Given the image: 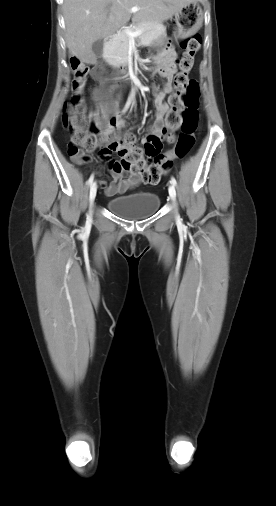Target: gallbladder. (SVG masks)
I'll return each mask as SVG.
<instances>
[{"label": "gallbladder", "mask_w": 276, "mask_h": 506, "mask_svg": "<svg viewBox=\"0 0 276 506\" xmlns=\"http://www.w3.org/2000/svg\"><path fill=\"white\" fill-rule=\"evenodd\" d=\"M92 51L97 58H101L103 55V40L99 39L92 45Z\"/></svg>", "instance_id": "bac80fb5"}]
</instances>
